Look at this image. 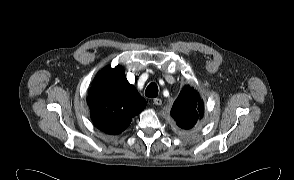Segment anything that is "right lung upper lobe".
Segmentation results:
<instances>
[{
    "label": "right lung upper lobe",
    "instance_id": "right-lung-upper-lobe-1",
    "mask_svg": "<svg viewBox=\"0 0 294 180\" xmlns=\"http://www.w3.org/2000/svg\"><path fill=\"white\" fill-rule=\"evenodd\" d=\"M95 125L108 134H119L145 107V99L130 84L120 66H107L95 77L88 93Z\"/></svg>",
    "mask_w": 294,
    "mask_h": 180
}]
</instances>
